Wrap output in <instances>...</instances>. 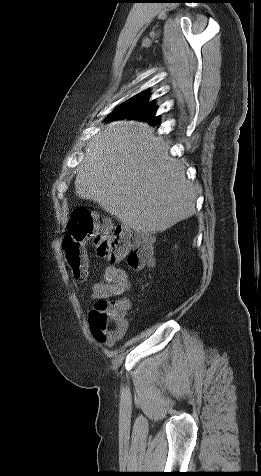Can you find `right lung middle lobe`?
Masks as SVG:
<instances>
[{"label": "right lung middle lobe", "mask_w": 261, "mask_h": 476, "mask_svg": "<svg viewBox=\"0 0 261 476\" xmlns=\"http://www.w3.org/2000/svg\"><path fill=\"white\" fill-rule=\"evenodd\" d=\"M155 113L156 108L151 102H125L119 106V108L111 117L133 118L148 121L150 123H156L157 118Z\"/></svg>", "instance_id": "1"}]
</instances>
